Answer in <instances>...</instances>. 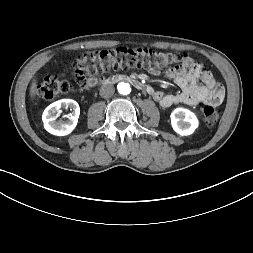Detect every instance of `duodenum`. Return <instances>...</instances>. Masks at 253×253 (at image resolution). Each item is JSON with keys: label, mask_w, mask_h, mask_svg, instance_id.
Returning <instances> with one entry per match:
<instances>
[{"label": "duodenum", "mask_w": 253, "mask_h": 253, "mask_svg": "<svg viewBox=\"0 0 253 253\" xmlns=\"http://www.w3.org/2000/svg\"><path fill=\"white\" fill-rule=\"evenodd\" d=\"M121 81L129 82L137 89L147 92L149 94H153V90L151 87L142 83L138 79H136L132 76H127V75H114V76L105 78L103 83L100 86H108V85H112V84H115V83L121 82Z\"/></svg>", "instance_id": "duodenum-1"}]
</instances>
